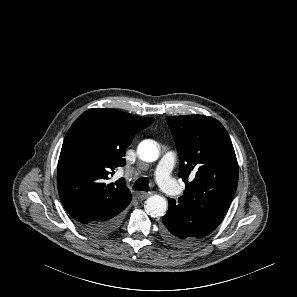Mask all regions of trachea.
<instances>
[{"instance_id": "1", "label": "trachea", "mask_w": 297, "mask_h": 297, "mask_svg": "<svg viewBox=\"0 0 297 297\" xmlns=\"http://www.w3.org/2000/svg\"><path fill=\"white\" fill-rule=\"evenodd\" d=\"M133 189L138 191H149V179L147 177L139 178L133 185Z\"/></svg>"}]
</instances>
